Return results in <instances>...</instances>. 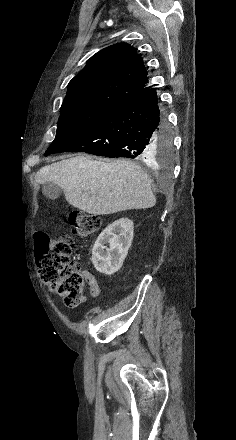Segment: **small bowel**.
Listing matches in <instances>:
<instances>
[{
  "label": "small bowel",
  "instance_id": "c3829d8e",
  "mask_svg": "<svg viewBox=\"0 0 236 440\" xmlns=\"http://www.w3.org/2000/svg\"><path fill=\"white\" fill-rule=\"evenodd\" d=\"M83 274L85 276L86 283L89 286V293L92 298H96L100 295V286L98 284L97 279L88 271L83 270Z\"/></svg>",
  "mask_w": 236,
  "mask_h": 440
}]
</instances>
